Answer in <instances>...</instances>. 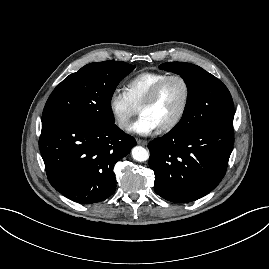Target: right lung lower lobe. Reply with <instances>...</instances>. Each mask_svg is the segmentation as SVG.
I'll return each instance as SVG.
<instances>
[{"label":"right lung lower lobe","mask_w":269,"mask_h":269,"mask_svg":"<svg viewBox=\"0 0 269 269\" xmlns=\"http://www.w3.org/2000/svg\"><path fill=\"white\" fill-rule=\"evenodd\" d=\"M135 145L115 124L98 127L68 118L42 122L39 139L49 182L79 204L98 203L115 192L114 164Z\"/></svg>","instance_id":"obj_1"}]
</instances>
